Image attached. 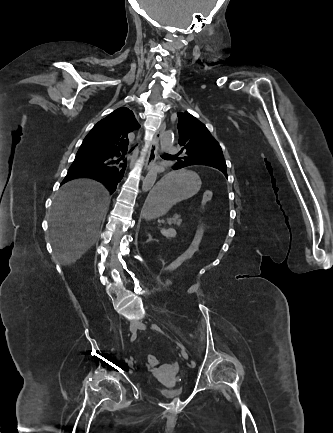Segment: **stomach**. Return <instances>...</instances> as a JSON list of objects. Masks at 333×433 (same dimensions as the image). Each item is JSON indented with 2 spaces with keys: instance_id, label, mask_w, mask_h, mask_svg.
Listing matches in <instances>:
<instances>
[{
  "instance_id": "obj_1",
  "label": "stomach",
  "mask_w": 333,
  "mask_h": 433,
  "mask_svg": "<svg viewBox=\"0 0 333 433\" xmlns=\"http://www.w3.org/2000/svg\"><path fill=\"white\" fill-rule=\"evenodd\" d=\"M197 169H170L169 174L153 183L143 209L144 220H163L169 210L183 199H192L198 192L200 182Z\"/></svg>"
}]
</instances>
